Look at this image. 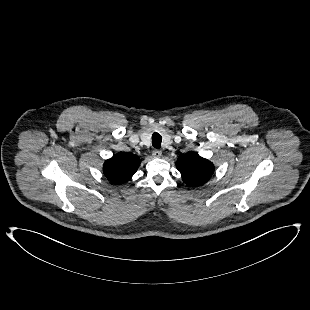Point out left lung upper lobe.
<instances>
[{
	"label": "left lung upper lobe",
	"instance_id": "left-lung-upper-lobe-1",
	"mask_svg": "<svg viewBox=\"0 0 310 310\" xmlns=\"http://www.w3.org/2000/svg\"><path fill=\"white\" fill-rule=\"evenodd\" d=\"M176 167L180 171L183 181L189 187L205 184L214 172V165L195 152L180 155Z\"/></svg>",
	"mask_w": 310,
	"mask_h": 310
}]
</instances>
